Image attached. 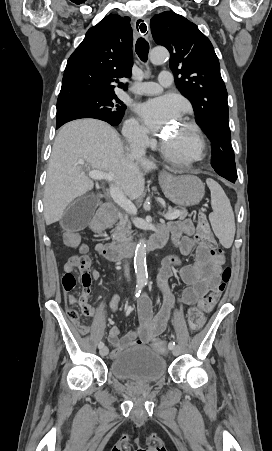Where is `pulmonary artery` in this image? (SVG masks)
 <instances>
[{
  "mask_svg": "<svg viewBox=\"0 0 272 451\" xmlns=\"http://www.w3.org/2000/svg\"><path fill=\"white\" fill-rule=\"evenodd\" d=\"M172 71L169 68H165L158 76L159 83L144 81L142 86L132 90L133 93L139 95H156L162 91V86H170L173 82Z\"/></svg>",
  "mask_w": 272,
  "mask_h": 451,
  "instance_id": "pulmonary-artery-1",
  "label": "pulmonary artery"
}]
</instances>
